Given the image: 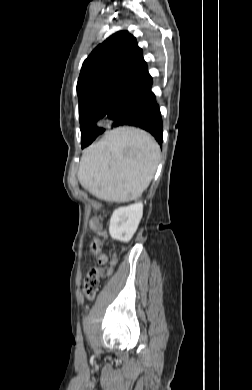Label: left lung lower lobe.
<instances>
[{
  "instance_id": "0a47b994",
  "label": "left lung lower lobe",
  "mask_w": 252,
  "mask_h": 390,
  "mask_svg": "<svg viewBox=\"0 0 252 390\" xmlns=\"http://www.w3.org/2000/svg\"><path fill=\"white\" fill-rule=\"evenodd\" d=\"M152 77L140 88L124 105L118 113L111 118L114 127L134 126L151 133L160 146L163 141V122L154 93L151 91ZM93 122L85 126L81 135L82 148L89 146L96 137L104 132Z\"/></svg>"
}]
</instances>
